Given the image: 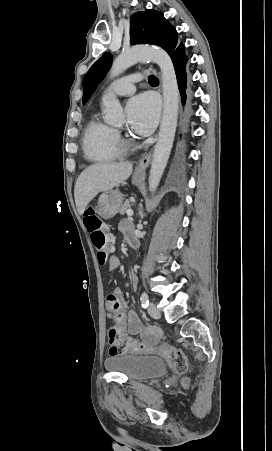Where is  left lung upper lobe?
<instances>
[{"mask_svg": "<svg viewBox=\"0 0 272 451\" xmlns=\"http://www.w3.org/2000/svg\"><path fill=\"white\" fill-rule=\"evenodd\" d=\"M130 43L152 44L162 47L170 56L178 46L176 29L164 18L163 13L147 9L134 13L130 18ZM112 63L110 53L103 54L89 69L83 79V104H85L97 84Z\"/></svg>", "mask_w": 272, "mask_h": 451, "instance_id": "1", "label": "left lung upper lobe"}]
</instances>
